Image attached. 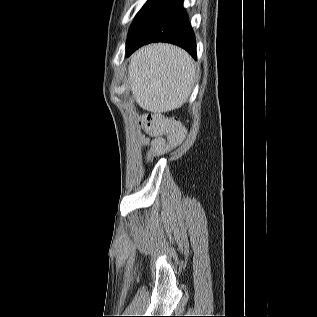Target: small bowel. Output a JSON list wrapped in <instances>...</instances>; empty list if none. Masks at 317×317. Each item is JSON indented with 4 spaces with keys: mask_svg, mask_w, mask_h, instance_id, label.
I'll use <instances>...</instances> for the list:
<instances>
[{
    "mask_svg": "<svg viewBox=\"0 0 317 317\" xmlns=\"http://www.w3.org/2000/svg\"><path fill=\"white\" fill-rule=\"evenodd\" d=\"M145 143H148V141H147V140H145Z\"/></svg>",
    "mask_w": 317,
    "mask_h": 317,
    "instance_id": "obj_1",
    "label": "small bowel"
}]
</instances>
